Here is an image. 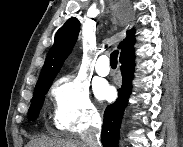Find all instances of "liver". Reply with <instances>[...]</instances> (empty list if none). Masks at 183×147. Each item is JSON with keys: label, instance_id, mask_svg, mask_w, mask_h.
Instances as JSON below:
<instances>
[{"label": "liver", "instance_id": "obj_1", "mask_svg": "<svg viewBox=\"0 0 183 147\" xmlns=\"http://www.w3.org/2000/svg\"><path fill=\"white\" fill-rule=\"evenodd\" d=\"M27 147H86L85 143L73 139L40 138L29 142Z\"/></svg>", "mask_w": 183, "mask_h": 147}]
</instances>
